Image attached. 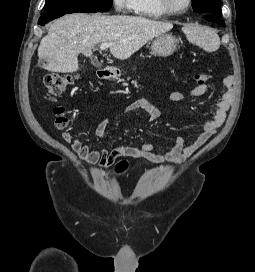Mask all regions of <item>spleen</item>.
<instances>
[{
	"label": "spleen",
	"mask_w": 255,
	"mask_h": 272,
	"mask_svg": "<svg viewBox=\"0 0 255 272\" xmlns=\"http://www.w3.org/2000/svg\"><path fill=\"white\" fill-rule=\"evenodd\" d=\"M182 31L190 43L202 47L208 52L216 51L220 47L219 36L209 27L201 25H185L182 28Z\"/></svg>",
	"instance_id": "1"
}]
</instances>
